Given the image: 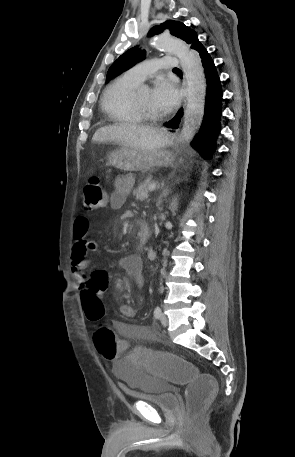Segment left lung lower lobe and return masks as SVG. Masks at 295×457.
Here are the masks:
<instances>
[{
	"instance_id": "left-lung-lower-lobe-1",
	"label": "left lung lower lobe",
	"mask_w": 295,
	"mask_h": 457,
	"mask_svg": "<svg viewBox=\"0 0 295 457\" xmlns=\"http://www.w3.org/2000/svg\"><path fill=\"white\" fill-rule=\"evenodd\" d=\"M191 48L194 49L195 53L201 58L207 83L205 112L202 126L199 133L191 142V145L197 149L204 158L209 159L215 149V140L221 130L220 117L223 93L216 66L208 51L198 39L191 45ZM182 116L183 110L180 109L175 117L166 125L175 128L179 124Z\"/></svg>"
}]
</instances>
